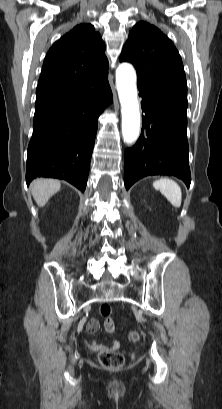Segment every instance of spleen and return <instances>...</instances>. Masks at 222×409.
Here are the masks:
<instances>
[{
	"label": "spleen",
	"mask_w": 222,
	"mask_h": 409,
	"mask_svg": "<svg viewBox=\"0 0 222 409\" xmlns=\"http://www.w3.org/2000/svg\"><path fill=\"white\" fill-rule=\"evenodd\" d=\"M153 187L159 190L172 206L179 208L182 202V192L180 186L173 180L162 178L153 183Z\"/></svg>",
	"instance_id": "1"
}]
</instances>
